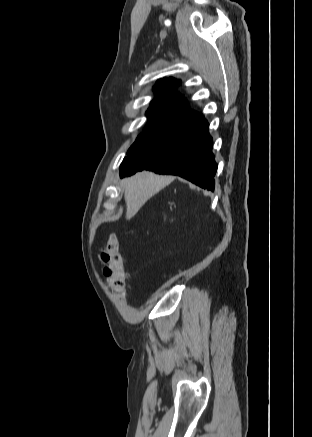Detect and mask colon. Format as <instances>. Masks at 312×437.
Instances as JSON below:
<instances>
[{"label":"colon","instance_id":"colon-1","mask_svg":"<svg viewBox=\"0 0 312 437\" xmlns=\"http://www.w3.org/2000/svg\"><path fill=\"white\" fill-rule=\"evenodd\" d=\"M101 259L105 264L103 273L109 291L124 301L128 292V272L125 258L116 236L111 235L101 250Z\"/></svg>","mask_w":312,"mask_h":437}]
</instances>
